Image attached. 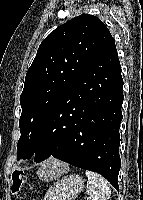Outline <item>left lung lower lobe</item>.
I'll return each instance as SVG.
<instances>
[{
    "mask_svg": "<svg viewBox=\"0 0 143 200\" xmlns=\"http://www.w3.org/2000/svg\"><path fill=\"white\" fill-rule=\"evenodd\" d=\"M123 79L114 39L64 92L44 124L34 162L50 156L103 175L117 190ZM62 111L59 121L56 117Z\"/></svg>",
    "mask_w": 143,
    "mask_h": 200,
    "instance_id": "0a47b994",
    "label": "left lung lower lobe"
}]
</instances>
